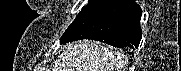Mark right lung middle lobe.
I'll list each match as a JSON object with an SVG mask.
<instances>
[{
  "label": "right lung middle lobe",
  "mask_w": 181,
  "mask_h": 71,
  "mask_svg": "<svg viewBox=\"0 0 181 71\" xmlns=\"http://www.w3.org/2000/svg\"><path fill=\"white\" fill-rule=\"evenodd\" d=\"M97 0H89L88 4L83 7V9L81 10V12L79 14H81L82 12H84L86 9H88L94 2H96Z\"/></svg>",
  "instance_id": "right-lung-middle-lobe-1"
}]
</instances>
